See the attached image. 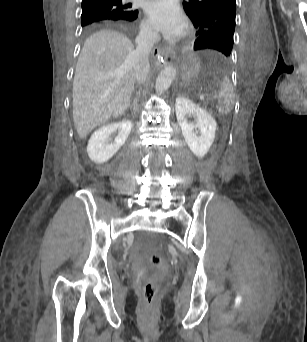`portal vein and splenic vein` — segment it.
Instances as JSON below:
<instances>
[{
    "label": "portal vein and splenic vein",
    "instance_id": "obj_1",
    "mask_svg": "<svg viewBox=\"0 0 307 342\" xmlns=\"http://www.w3.org/2000/svg\"><path fill=\"white\" fill-rule=\"evenodd\" d=\"M108 76H110V74H108ZM200 96V101L204 102L205 101V93L203 92V90L201 89L200 92L198 93Z\"/></svg>",
    "mask_w": 307,
    "mask_h": 342
}]
</instances>
